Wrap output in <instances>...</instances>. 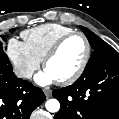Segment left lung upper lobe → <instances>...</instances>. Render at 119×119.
<instances>
[{
  "instance_id": "5c2ea615",
  "label": "left lung upper lobe",
  "mask_w": 119,
  "mask_h": 119,
  "mask_svg": "<svg viewBox=\"0 0 119 119\" xmlns=\"http://www.w3.org/2000/svg\"><path fill=\"white\" fill-rule=\"evenodd\" d=\"M81 30L86 35L89 43L93 48V52L90 56V59L86 65V67L92 65L93 63L101 60L102 58L110 55L111 53L115 52V49L112 48L109 44L101 40L97 35H95L89 29L80 26Z\"/></svg>"
}]
</instances>
